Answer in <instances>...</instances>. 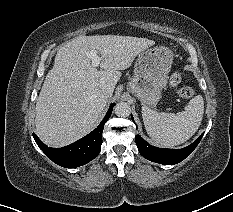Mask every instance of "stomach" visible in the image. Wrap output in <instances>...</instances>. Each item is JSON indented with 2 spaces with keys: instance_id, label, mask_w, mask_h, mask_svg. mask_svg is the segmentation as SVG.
Wrapping results in <instances>:
<instances>
[{
  "instance_id": "1",
  "label": "stomach",
  "mask_w": 233,
  "mask_h": 212,
  "mask_svg": "<svg viewBox=\"0 0 233 212\" xmlns=\"http://www.w3.org/2000/svg\"><path fill=\"white\" fill-rule=\"evenodd\" d=\"M172 56V51L165 46L146 48L138 54L134 75L127 88L144 106L152 107L160 100Z\"/></svg>"
}]
</instances>
